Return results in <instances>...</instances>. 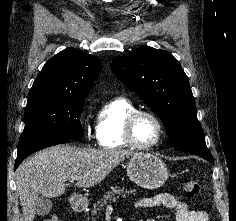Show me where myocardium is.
Instances as JSON below:
<instances>
[{
  "label": "myocardium",
  "instance_id": "myocardium-1",
  "mask_svg": "<svg viewBox=\"0 0 236 221\" xmlns=\"http://www.w3.org/2000/svg\"><path fill=\"white\" fill-rule=\"evenodd\" d=\"M140 116H149L157 124L158 131H159L158 137L151 144L141 145L136 141V139L134 137V125ZM164 135H165V129H164V125H163L162 120L159 118V116L157 114H155L154 112H152L150 110L137 109V110L133 111L132 113L129 114V116L127 117L125 124H124V138H125L126 142L131 147L138 149V150H149V149H152V148L158 146L160 144V142L162 141Z\"/></svg>",
  "mask_w": 236,
  "mask_h": 221
}]
</instances>
